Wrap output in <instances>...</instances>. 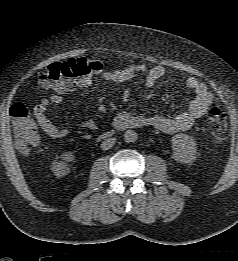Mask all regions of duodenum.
<instances>
[{
    "instance_id": "410a0bca",
    "label": "duodenum",
    "mask_w": 238,
    "mask_h": 261,
    "mask_svg": "<svg viewBox=\"0 0 238 261\" xmlns=\"http://www.w3.org/2000/svg\"><path fill=\"white\" fill-rule=\"evenodd\" d=\"M108 136H109V132L102 134L100 137H101V138H106V137H108Z\"/></svg>"
}]
</instances>
